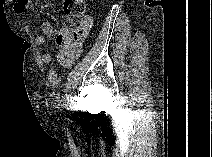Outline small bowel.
Here are the masks:
<instances>
[{
    "label": "small bowel",
    "instance_id": "obj_1",
    "mask_svg": "<svg viewBox=\"0 0 212 157\" xmlns=\"http://www.w3.org/2000/svg\"><path fill=\"white\" fill-rule=\"evenodd\" d=\"M29 6V0H13V10L17 15H22L26 12ZM92 21L90 17H85L83 19L82 26L78 29L80 32L79 37L72 38L69 37L65 43H61L58 40V36L69 32L65 27H61L57 31L56 43L58 45L57 59L59 64L63 68H70L74 61L80 56L82 51V44L87 37L91 29ZM42 36L35 39L37 46H42L47 43L53 34V26L50 22H43L41 24ZM40 61L42 65H50L52 63V56L49 53H43L40 56ZM47 81L51 86H56L59 84L60 77L54 68H50L47 74Z\"/></svg>",
    "mask_w": 212,
    "mask_h": 157
}]
</instances>
